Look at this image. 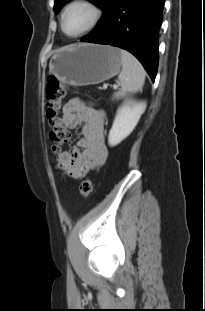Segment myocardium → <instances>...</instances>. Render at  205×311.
<instances>
[{
  "instance_id": "f54148a6",
  "label": "myocardium",
  "mask_w": 205,
  "mask_h": 311,
  "mask_svg": "<svg viewBox=\"0 0 205 311\" xmlns=\"http://www.w3.org/2000/svg\"><path fill=\"white\" fill-rule=\"evenodd\" d=\"M74 5H84L88 7L92 11L93 17H92L90 24L84 30H82L81 32L77 34H68L64 27L65 17H66L68 10ZM102 17H103V10L94 0H70L66 3V5L64 6L62 10L61 20H60L61 30L68 37L78 38L91 32L93 29H95L97 25L100 23Z\"/></svg>"
}]
</instances>
